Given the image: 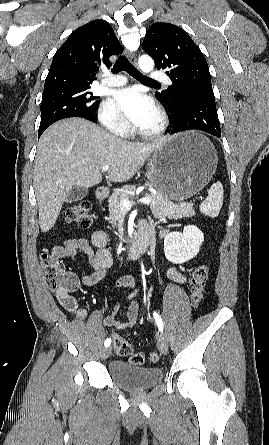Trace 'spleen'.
<instances>
[{"mask_svg":"<svg viewBox=\"0 0 269 445\" xmlns=\"http://www.w3.org/2000/svg\"><path fill=\"white\" fill-rule=\"evenodd\" d=\"M223 193L221 182L214 183L208 190L207 198L199 206L201 213L211 218L217 217L223 204Z\"/></svg>","mask_w":269,"mask_h":445,"instance_id":"1","label":"spleen"}]
</instances>
